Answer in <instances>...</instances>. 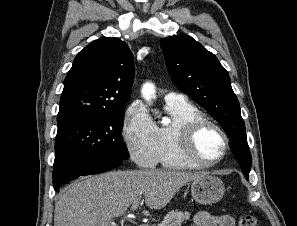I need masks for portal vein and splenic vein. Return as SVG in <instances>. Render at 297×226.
<instances>
[{"instance_id": "obj_1", "label": "portal vein and splenic vein", "mask_w": 297, "mask_h": 226, "mask_svg": "<svg viewBox=\"0 0 297 226\" xmlns=\"http://www.w3.org/2000/svg\"><path fill=\"white\" fill-rule=\"evenodd\" d=\"M140 202H141V197H138L137 199H135L132 204V210L136 209L138 207V205L140 204ZM129 216L130 215H128V217Z\"/></svg>"}]
</instances>
